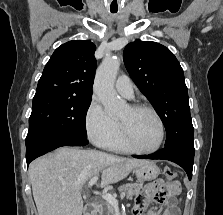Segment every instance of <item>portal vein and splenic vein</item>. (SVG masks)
I'll return each mask as SVG.
<instances>
[{"label":"portal vein and splenic vein","mask_w":223,"mask_h":215,"mask_svg":"<svg viewBox=\"0 0 223 215\" xmlns=\"http://www.w3.org/2000/svg\"><path fill=\"white\" fill-rule=\"evenodd\" d=\"M98 179V175H94V177H91L90 181H88V185H94V183H96ZM94 193H96V195H98L99 191H94ZM126 193L123 191L121 194H119V197H124ZM103 199H106V201H108V203H110V205H113V207H119L118 205V199H115V197H113L112 193H104V195H102Z\"/></svg>","instance_id":"1"}]
</instances>
